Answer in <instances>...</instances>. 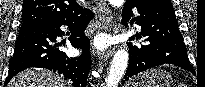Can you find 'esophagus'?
<instances>
[{
    "mask_svg": "<svg viewBox=\"0 0 205 87\" xmlns=\"http://www.w3.org/2000/svg\"><path fill=\"white\" fill-rule=\"evenodd\" d=\"M97 13L96 16L99 20L100 28L104 31L116 33V28L114 27L113 23L109 20L110 11L107 5L106 0H95ZM115 47L110 46L108 47L102 54L101 59L107 60L110 58L114 53Z\"/></svg>",
    "mask_w": 205,
    "mask_h": 87,
    "instance_id": "obj_1",
    "label": "esophagus"
}]
</instances>
